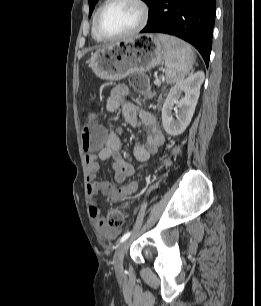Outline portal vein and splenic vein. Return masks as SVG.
Wrapping results in <instances>:
<instances>
[{
  "label": "portal vein and splenic vein",
  "mask_w": 261,
  "mask_h": 306,
  "mask_svg": "<svg viewBox=\"0 0 261 306\" xmlns=\"http://www.w3.org/2000/svg\"><path fill=\"white\" fill-rule=\"evenodd\" d=\"M159 81H160V80H159V79H157V81H156V82L158 83ZM160 82H161V81H160Z\"/></svg>",
  "instance_id": "1"
}]
</instances>
